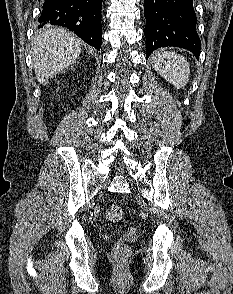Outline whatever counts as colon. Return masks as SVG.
<instances>
[{"label": "colon", "mask_w": 233, "mask_h": 294, "mask_svg": "<svg viewBox=\"0 0 233 294\" xmlns=\"http://www.w3.org/2000/svg\"><path fill=\"white\" fill-rule=\"evenodd\" d=\"M106 217L111 222H119L123 217V210L118 206H111L106 211ZM129 255V249L123 240H120L114 249V256L118 261H124Z\"/></svg>", "instance_id": "colon-1"}]
</instances>
